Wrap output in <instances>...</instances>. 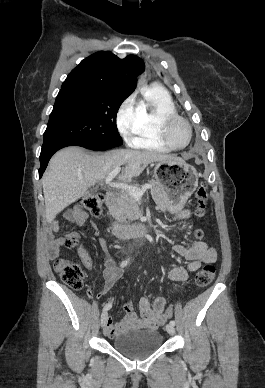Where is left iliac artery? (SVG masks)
<instances>
[{"instance_id": "left-iliac-artery-1", "label": "left iliac artery", "mask_w": 265, "mask_h": 388, "mask_svg": "<svg viewBox=\"0 0 265 388\" xmlns=\"http://www.w3.org/2000/svg\"><path fill=\"white\" fill-rule=\"evenodd\" d=\"M169 324L172 325V326H175V321H174V320H171V321L169 322Z\"/></svg>"}]
</instances>
